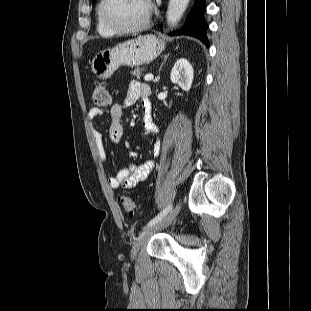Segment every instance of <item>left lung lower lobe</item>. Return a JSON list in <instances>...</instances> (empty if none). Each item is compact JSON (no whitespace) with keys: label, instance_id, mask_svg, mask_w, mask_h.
Returning a JSON list of instances; mask_svg holds the SVG:
<instances>
[{"label":"left lung lower lobe","instance_id":"left-lung-lower-lobe-1","mask_svg":"<svg viewBox=\"0 0 311 311\" xmlns=\"http://www.w3.org/2000/svg\"><path fill=\"white\" fill-rule=\"evenodd\" d=\"M205 8V0H196L192 10L187 16L184 27L178 31H174L172 35L193 36L200 39L208 47L209 43L206 36V30L208 28V25L204 20Z\"/></svg>","mask_w":311,"mask_h":311}]
</instances>
